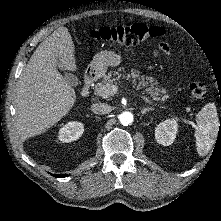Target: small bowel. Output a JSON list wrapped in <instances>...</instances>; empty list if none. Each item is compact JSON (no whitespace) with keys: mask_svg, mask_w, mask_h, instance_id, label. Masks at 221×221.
Wrapping results in <instances>:
<instances>
[{"mask_svg":"<svg viewBox=\"0 0 221 221\" xmlns=\"http://www.w3.org/2000/svg\"><path fill=\"white\" fill-rule=\"evenodd\" d=\"M159 48L165 53H167L169 50L168 46L165 43H160Z\"/></svg>","mask_w":221,"mask_h":221,"instance_id":"1","label":"small bowel"}]
</instances>
